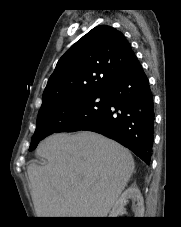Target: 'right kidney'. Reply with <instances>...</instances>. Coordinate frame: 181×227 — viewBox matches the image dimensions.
Listing matches in <instances>:
<instances>
[{
	"label": "right kidney",
	"mask_w": 181,
	"mask_h": 227,
	"mask_svg": "<svg viewBox=\"0 0 181 227\" xmlns=\"http://www.w3.org/2000/svg\"><path fill=\"white\" fill-rule=\"evenodd\" d=\"M129 199L136 203L133 207L135 217H143L145 210L143 196L135 184L131 185L122 193L119 199L115 202L109 217H118L120 214H122L125 210L124 206Z\"/></svg>",
	"instance_id": "right-kidney-1"
}]
</instances>
